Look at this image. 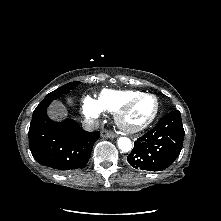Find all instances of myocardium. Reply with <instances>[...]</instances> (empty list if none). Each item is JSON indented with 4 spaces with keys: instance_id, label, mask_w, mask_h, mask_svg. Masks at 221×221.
<instances>
[{
    "instance_id": "1",
    "label": "myocardium",
    "mask_w": 221,
    "mask_h": 221,
    "mask_svg": "<svg viewBox=\"0 0 221 221\" xmlns=\"http://www.w3.org/2000/svg\"><path fill=\"white\" fill-rule=\"evenodd\" d=\"M145 97H152L155 100L156 106H155V110L154 113L152 114V116L143 124L138 125V126H131L128 125L125 122V115L127 113V111L130 109V107L136 103L137 101H139L142 98ZM160 111V102L157 98V96L155 94L152 93H141L138 94L128 100H126L115 112H114V119L115 122L117 124V126L124 132L129 133V134H136L139 132H142L144 130H146L148 127H150L154 121L156 120L158 114Z\"/></svg>"
}]
</instances>
